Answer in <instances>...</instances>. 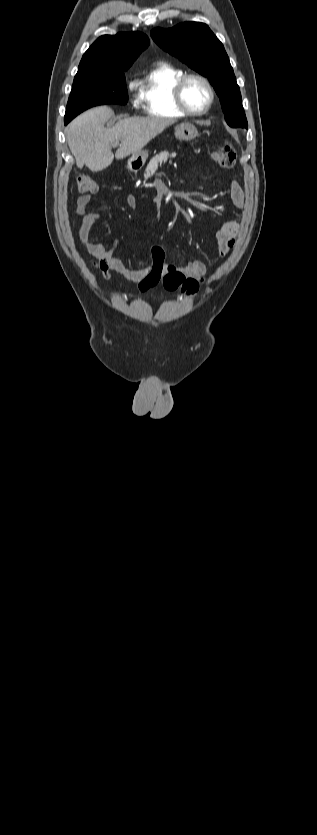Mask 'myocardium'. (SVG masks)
Returning a JSON list of instances; mask_svg holds the SVG:
<instances>
[{
    "instance_id": "1",
    "label": "myocardium",
    "mask_w": 317,
    "mask_h": 835,
    "mask_svg": "<svg viewBox=\"0 0 317 835\" xmlns=\"http://www.w3.org/2000/svg\"><path fill=\"white\" fill-rule=\"evenodd\" d=\"M197 79L203 82L209 91V101L207 105L199 111L192 110L187 105L185 98H184V91L187 83L192 80ZM174 98L178 108L188 116H202L206 114L212 107L214 100H215V89L211 83V81L204 75L199 73H187L184 74L176 83L174 87Z\"/></svg>"
}]
</instances>
